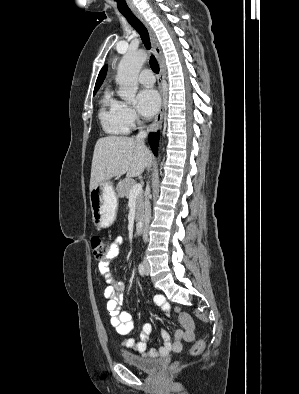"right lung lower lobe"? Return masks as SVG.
<instances>
[{
  "label": "right lung lower lobe",
  "instance_id": "98d812e1",
  "mask_svg": "<svg viewBox=\"0 0 299 394\" xmlns=\"http://www.w3.org/2000/svg\"><path fill=\"white\" fill-rule=\"evenodd\" d=\"M158 140H159V135L157 133H153L149 135V143L155 155H157Z\"/></svg>",
  "mask_w": 299,
  "mask_h": 394
}]
</instances>
